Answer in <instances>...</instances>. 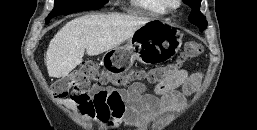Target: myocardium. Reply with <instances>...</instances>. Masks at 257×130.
<instances>
[{
	"instance_id": "1",
	"label": "myocardium",
	"mask_w": 257,
	"mask_h": 130,
	"mask_svg": "<svg viewBox=\"0 0 257 130\" xmlns=\"http://www.w3.org/2000/svg\"><path fill=\"white\" fill-rule=\"evenodd\" d=\"M167 9L177 10L182 5V0H163Z\"/></svg>"
}]
</instances>
